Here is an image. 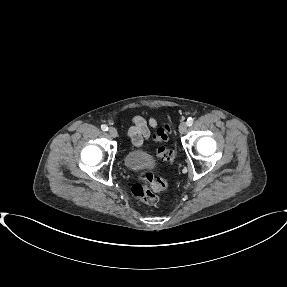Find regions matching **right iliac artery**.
I'll list each match as a JSON object with an SVG mask.
<instances>
[{
    "label": "right iliac artery",
    "mask_w": 287,
    "mask_h": 287,
    "mask_svg": "<svg viewBox=\"0 0 287 287\" xmlns=\"http://www.w3.org/2000/svg\"><path fill=\"white\" fill-rule=\"evenodd\" d=\"M101 129H102L103 131H108V127H107V125H105V124L101 125Z\"/></svg>",
    "instance_id": "right-iliac-artery-1"
}]
</instances>
